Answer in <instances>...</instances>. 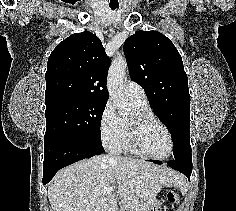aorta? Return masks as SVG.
<instances>
[{
    "label": "aorta",
    "mask_w": 236,
    "mask_h": 211,
    "mask_svg": "<svg viewBox=\"0 0 236 211\" xmlns=\"http://www.w3.org/2000/svg\"><path fill=\"white\" fill-rule=\"evenodd\" d=\"M126 68L127 62L125 59H115L110 66L107 80V88L110 98L120 112H126L129 110V104L124 98L123 87Z\"/></svg>",
    "instance_id": "762f6f07"
}]
</instances>
